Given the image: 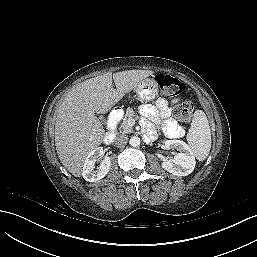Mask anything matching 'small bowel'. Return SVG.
I'll return each instance as SVG.
<instances>
[{
	"mask_svg": "<svg viewBox=\"0 0 257 257\" xmlns=\"http://www.w3.org/2000/svg\"><path fill=\"white\" fill-rule=\"evenodd\" d=\"M176 102V101H175ZM141 113L148 119L160 123L164 133L170 137L180 136L182 129L171 116V106L164 98H159L154 105L144 104L140 108ZM150 135V130L147 131Z\"/></svg>",
	"mask_w": 257,
	"mask_h": 257,
	"instance_id": "small-bowel-1",
	"label": "small bowel"
}]
</instances>
